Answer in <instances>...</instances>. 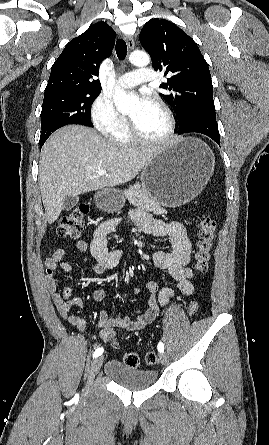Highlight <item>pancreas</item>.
<instances>
[{"label": "pancreas", "mask_w": 269, "mask_h": 445, "mask_svg": "<svg viewBox=\"0 0 269 445\" xmlns=\"http://www.w3.org/2000/svg\"><path fill=\"white\" fill-rule=\"evenodd\" d=\"M124 195L130 204L138 208L153 212L157 215L166 213V210L161 207L159 202L152 198L146 190L141 189L139 184H135L124 190Z\"/></svg>", "instance_id": "obj_1"}]
</instances>
